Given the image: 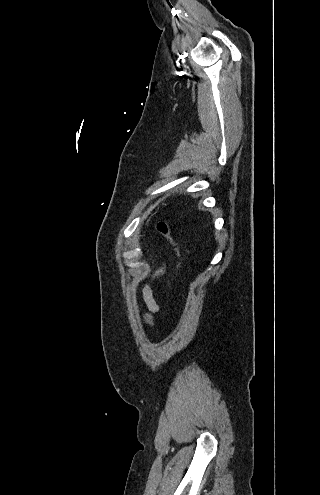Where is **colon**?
Segmentation results:
<instances>
[{
    "label": "colon",
    "mask_w": 320,
    "mask_h": 495,
    "mask_svg": "<svg viewBox=\"0 0 320 495\" xmlns=\"http://www.w3.org/2000/svg\"><path fill=\"white\" fill-rule=\"evenodd\" d=\"M158 230L160 231V233L163 236H165L169 240V242L171 243V245L173 247V250H174L175 256H176V260H177L176 271L178 273L180 271V267H181V258H182L181 247H180L179 243L175 240V238H173L167 223L160 222L158 224Z\"/></svg>",
    "instance_id": "obj_1"
}]
</instances>
